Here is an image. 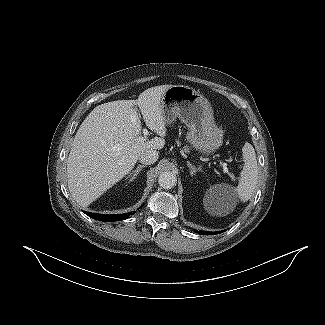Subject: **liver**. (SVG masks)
I'll use <instances>...</instances> for the list:
<instances>
[{"label":"liver","mask_w":325,"mask_h":325,"mask_svg":"<svg viewBox=\"0 0 325 325\" xmlns=\"http://www.w3.org/2000/svg\"><path fill=\"white\" fill-rule=\"evenodd\" d=\"M172 85L146 89L137 100H117L96 106L80 125L67 161L68 188L87 207L125 177L145 150L165 145L166 123L161 99ZM139 107L146 126L160 137L142 140Z\"/></svg>","instance_id":"obj_1"}]
</instances>
